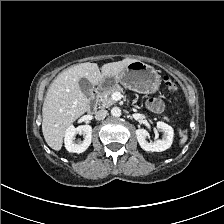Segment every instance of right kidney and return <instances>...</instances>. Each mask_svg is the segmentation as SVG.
Masks as SVG:
<instances>
[{
	"instance_id": "ca27d5eb",
	"label": "right kidney",
	"mask_w": 224,
	"mask_h": 224,
	"mask_svg": "<svg viewBox=\"0 0 224 224\" xmlns=\"http://www.w3.org/2000/svg\"><path fill=\"white\" fill-rule=\"evenodd\" d=\"M82 134L84 140L79 143H75L74 139L76 134ZM65 148L72 153H82L91 144L92 140V127L90 125H81L78 127L69 126L65 133Z\"/></svg>"
}]
</instances>
